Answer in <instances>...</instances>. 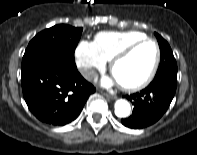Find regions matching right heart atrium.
<instances>
[{"label":"right heart atrium","mask_w":197,"mask_h":155,"mask_svg":"<svg viewBox=\"0 0 197 155\" xmlns=\"http://www.w3.org/2000/svg\"><path fill=\"white\" fill-rule=\"evenodd\" d=\"M77 67L83 77L90 79L96 70H102L107 60L96 47L95 43L81 40L75 49Z\"/></svg>","instance_id":"right-heart-atrium-1"}]
</instances>
